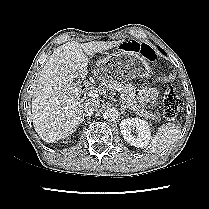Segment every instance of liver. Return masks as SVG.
Wrapping results in <instances>:
<instances>
[{"label": "liver", "instance_id": "obj_1", "mask_svg": "<svg viewBox=\"0 0 209 209\" xmlns=\"http://www.w3.org/2000/svg\"><path fill=\"white\" fill-rule=\"evenodd\" d=\"M119 41L63 44L44 65L32 98L33 126L41 139L54 143L74 133L83 119V98L78 81L88 74V58L119 46Z\"/></svg>", "mask_w": 209, "mask_h": 209}]
</instances>
